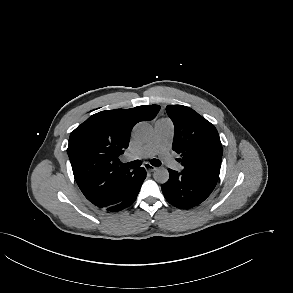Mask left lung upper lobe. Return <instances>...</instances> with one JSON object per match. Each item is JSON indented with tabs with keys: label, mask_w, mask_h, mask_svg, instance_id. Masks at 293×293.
I'll use <instances>...</instances> for the list:
<instances>
[{
	"label": "left lung upper lobe",
	"mask_w": 293,
	"mask_h": 293,
	"mask_svg": "<svg viewBox=\"0 0 293 293\" xmlns=\"http://www.w3.org/2000/svg\"><path fill=\"white\" fill-rule=\"evenodd\" d=\"M166 111L175 126L172 148L181 154L183 170L218 180L223 149L214 125L186 106L168 105Z\"/></svg>",
	"instance_id": "1"
}]
</instances>
